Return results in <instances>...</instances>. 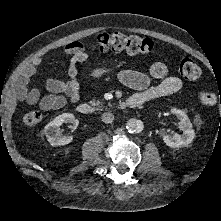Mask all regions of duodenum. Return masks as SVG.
Wrapping results in <instances>:
<instances>
[{
	"label": "duodenum",
	"instance_id": "duodenum-1",
	"mask_svg": "<svg viewBox=\"0 0 221 221\" xmlns=\"http://www.w3.org/2000/svg\"><path fill=\"white\" fill-rule=\"evenodd\" d=\"M145 103L144 98L139 95H132L120 103V108H134ZM77 111L83 115L90 114L92 107L88 103H80Z\"/></svg>",
	"mask_w": 221,
	"mask_h": 221
}]
</instances>
